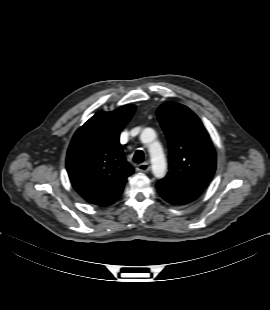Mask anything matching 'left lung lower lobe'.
I'll list each match as a JSON object with an SVG mask.
<instances>
[{
	"label": "left lung lower lobe",
	"instance_id": "left-lung-lower-lobe-1",
	"mask_svg": "<svg viewBox=\"0 0 270 310\" xmlns=\"http://www.w3.org/2000/svg\"><path fill=\"white\" fill-rule=\"evenodd\" d=\"M157 189L163 199L174 205L188 204L194 201L203 190L183 188L160 180Z\"/></svg>",
	"mask_w": 270,
	"mask_h": 310
}]
</instances>
